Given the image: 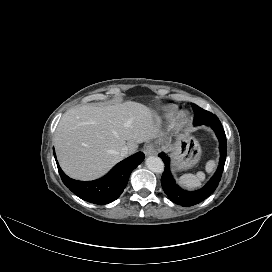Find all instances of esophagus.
<instances>
[{
  "label": "esophagus",
  "mask_w": 272,
  "mask_h": 272,
  "mask_svg": "<svg viewBox=\"0 0 272 272\" xmlns=\"http://www.w3.org/2000/svg\"><path fill=\"white\" fill-rule=\"evenodd\" d=\"M143 149H144V153H145L147 156L153 155V154H155V152H156L155 146H154V144H152V143L146 144V145L144 146Z\"/></svg>",
  "instance_id": "esophagus-1"
}]
</instances>
